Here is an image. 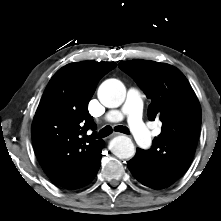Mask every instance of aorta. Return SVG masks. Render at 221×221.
<instances>
[{
	"label": "aorta",
	"mask_w": 221,
	"mask_h": 221,
	"mask_svg": "<svg viewBox=\"0 0 221 221\" xmlns=\"http://www.w3.org/2000/svg\"><path fill=\"white\" fill-rule=\"evenodd\" d=\"M99 101L108 108H117L125 100L126 89L117 79L105 80L98 88ZM112 153L119 159H129L135 155V147L127 136H117L110 143Z\"/></svg>",
	"instance_id": "1"
}]
</instances>
